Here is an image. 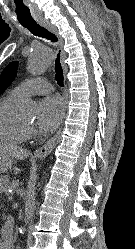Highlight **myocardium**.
Wrapping results in <instances>:
<instances>
[{"mask_svg":"<svg viewBox=\"0 0 135 249\" xmlns=\"http://www.w3.org/2000/svg\"><path fill=\"white\" fill-rule=\"evenodd\" d=\"M21 124H22L23 128L29 133V131L31 129L30 126L25 125L22 121H21Z\"/></svg>","mask_w":135,"mask_h":249,"instance_id":"f54148a6","label":"myocardium"}]
</instances>
